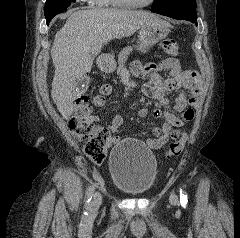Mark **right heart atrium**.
Returning a JSON list of instances; mask_svg holds the SVG:
<instances>
[{
    "label": "right heart atrium",
    "mask_w": 240,
    "mask_h": 238,
    "mask_svg": "<svg viewBox=\"0 0 240 238\" xmlns=\"http://www.w3.org/2000/svg\"><path fill=\"white\" fill-rule=\"evenodd\" d=\"M81 1L90 5H99L103 0H81Z\"/></svg>",
    "instance_id": "d8ad5b80"
}]
</instances>
